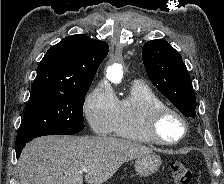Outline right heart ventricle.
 <instances>
[{
  "mask_svg": "<svg viewBox=\"0 0 224 184\" xmlns=\"http://www.w3.org/2000/svg\"><path fill=\"white\" fill-rule=\"evenodd\" d=\"M163 100L147 85L135 82L121 99H117L112 134L138 143H151L145 134V121L152 108Z\"/></svg>",
  "mask_w": 224,
  "mask_h": 184,
  "instance_id": "obj_1",
  "label": "right heart ventricle"
}]
</instances>
